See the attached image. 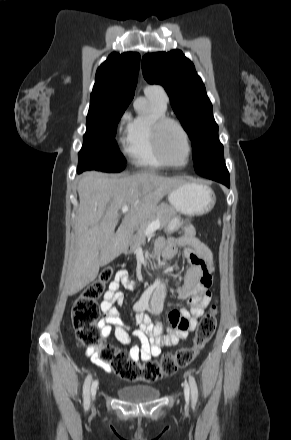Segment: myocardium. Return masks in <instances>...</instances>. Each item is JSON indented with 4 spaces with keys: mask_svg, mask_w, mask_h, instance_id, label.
<instances>
[{
    "mask_svg": "<svg viewBox=\"0 0 291 440\" xmlns=\"http://www.w3.org/2000/svg\"><path fill=\"white\" fill-rule=\"evenodd\" d=\"M168 125H174L175 127H177L185 139L187 154H186V160L182 164H174L170 162L163 153L162 133L165 127ZM151 135H152V141L156 155L165 166L174 167V168H184L189 164L192 155V145L190 141V136L187 130L178 120L166 116L154 119L151 123Z\"/></svg>",
    "mask_w": 291,
    "mask_h": 440,
    "instance_id": "1",
    "label": "myocardium"
}]
</instances>
